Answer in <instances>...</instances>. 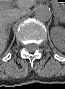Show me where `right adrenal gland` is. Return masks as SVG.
<instances>
[{"instance_id": "obj_1", "label": "right adrenal gland", "mask_w": 65, "mask_h": 89, "mask_svg": "<svg viewBox=\"0 0 65 89\" xmlns=\"http://www.w3.org/2000/svg\"><path fill=\"white\" fill-rule=\"evenodd\" d=\"M11 24L10 25H8L7 26V28H6V33H7V35H9L10 34V32H11Z\"/></svg>"}]
</instances>
